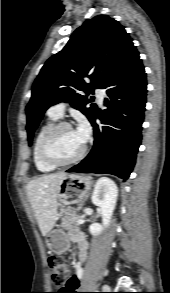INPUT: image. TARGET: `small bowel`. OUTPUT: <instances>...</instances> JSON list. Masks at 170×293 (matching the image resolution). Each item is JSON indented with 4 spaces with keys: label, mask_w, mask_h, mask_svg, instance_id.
Returning a JSON list of instances; mask_svg holds the SVG:
<instances>
[{
    "label": "small bowel",
    "mask_w": 170,
    "mask_h": 293,
    "mask_svg": "<svg viewBox=\"0 0 170 293\" xmlns=\"http://www.w3.org/2000/svg\"><path fill=\"white\" fill-rule=\"evenodd\" d=\"M70 237L72 240H74L79 249V263L76 267V276L75 279L79 280L82 277L83 274V269H84V263L87 257V248H88V243L85 238V235L81 231H73L70 234Z\"/></svg>",
    "instance_id": "small-bowel-1"
}]
</instances>
